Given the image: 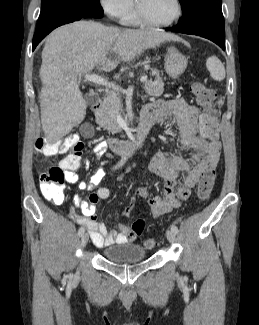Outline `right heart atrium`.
Instances as JSON below:
<instances>
[{
  "label": "right heart atrium",
  "instance_id": "1",
  "mask_svg": "<svg viewBox=\"0 0 259 325\" xmlns=\"http://www.w3.org/2000/svg\"><path fill=\"white\" fill-rule=\"evenodd\" d=\"M103 10L116 18H123L133 10L134 0H99Z\"/></svg>",
  "mask_w": 259,
  "mask_h": 325
}]
</instances>
